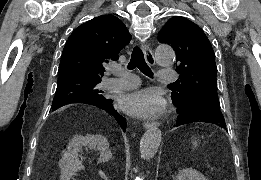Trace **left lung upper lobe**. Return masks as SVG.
<instances>
[{"label":"left lung upper lobe","mask_w":261,"mask_h":180,"mask_svg":"<svg viewBox=\"0 0 261 180\" xmlns=\"http://www.w3.org/2000/svg\"><path fill=\"white\" fill-rule=\"evenodd\" d=\"M160 43H168L176 52L180 74L172 101L183 103L190 98L220 107L217 95L215 54L203 30L192 21L176 16L158 33Z\"/></svg>","instance_id":"1"}]
</instances>
